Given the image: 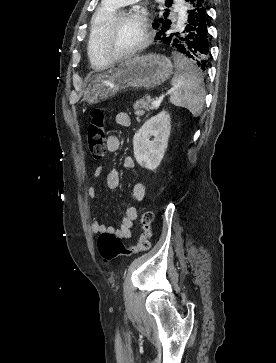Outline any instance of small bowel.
<instances>
[{
  "instance_id": "c3829d8e",
  "label": "small bowel",
  "mask_w": 276,
  "mask_h": 363,
  "mask_svg": "<svg viewBox=\"0 0 276 363\" xmlns=\"http://www.w3.org/2000/svg\"><path fill=\"white\" fill-rule=\"evenodd\" d=\"M115 121L118 125L127 127L131 124V119L128 113L126 112H119L116 114ZM121 141L120 138L117 135L111 134L107 137L106 140V146L108 151L115 152L120 148ZM123 165L128 170H134L135 169V162L133 158L126 157L124 159ZM103 172V167L99 166L95 169L94 176L95 178H98ZM106 184L108 188L110 189H116L118 188L120 184V176L119 173L116 170H110L106 174ZM87 196L93 200L96 197V189L93 185H90L87 188ZM132 193L134 198L137 201H142L145 197V188L142 183L137 182L133 186ZM138 207L137 206H129L127 207L125 211V215L122 218L120 226L115 229L113 227H108L103 224H101L97 218H94L91 223V231L94 234H100V233H111L114 234L116 237L120 239H129L132 236V228L134 225V222L138 218Z\"/></svg>"
}]
</instances>
